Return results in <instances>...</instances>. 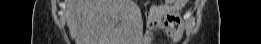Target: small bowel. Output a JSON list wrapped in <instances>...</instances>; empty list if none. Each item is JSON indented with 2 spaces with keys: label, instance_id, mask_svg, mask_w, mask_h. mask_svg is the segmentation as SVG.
<instances>
[{
  "label": "small bowel",
  "instance_id": "small-bowel-1",
  "mask_svg": "<svg viewBox=\"0 0 261 44\" xmlns=\"http://www.w3.org/2000/svg\"><path fill=\"white\" fill-rule=\"evenodd\" d=\"M181 9L182 6H171L170 4L152 6L147 37L151 38L155 32L167 34L175 39L181 37L183 26L180 19Z\"/></svg>",
  "mask_w": 261,
  "mask_h": 44
}]
</instances>
